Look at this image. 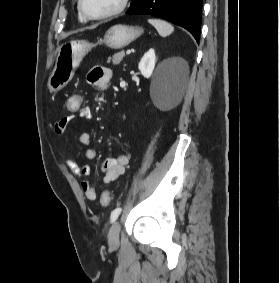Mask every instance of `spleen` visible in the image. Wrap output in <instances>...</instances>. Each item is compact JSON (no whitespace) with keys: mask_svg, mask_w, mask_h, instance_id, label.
Returning <instances> with one entry per match:
<instances>
[{"mask_svg":"<svg viewBox=\"0 0 280 283\" xmlns=\"http://www.w3.org/2000/svg\"><path fill=\"white\" fill-rule=\"evenodd\" d=\"M148 22L155 27L160 36L166 37L174 31V27L161 19H149Z\"/></svg>","mask_w":280,"mask_h":283,"instance_id":"3e777b00","label":"spleen"}]
</instances>
